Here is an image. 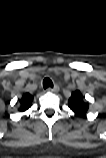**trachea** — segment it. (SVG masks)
<instances>
[{
	"label": "trachea",
	"mask_w": 106,
	"mask_h": 158,
	"mask_svg": "<svg viewBox=\"0 0 106 158\" xmlns=\"http://www.w3.org/2000/svg\"><path fill=\"white\" fill-rule=\"evenodd\" d=\"M43 87H44V89L53 88V82H52V80L50 78L46 77L43 80Z\"/></svg>",
	"instance_id": "1"
}]
</instances>
